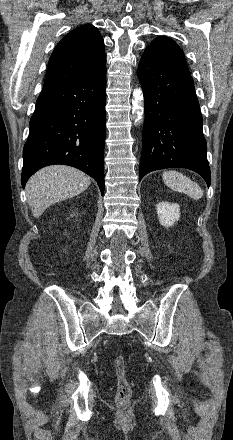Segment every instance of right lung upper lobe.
<instances>
[{
	"mask_svg": "<svg viewBox=\"0 0 233 440\" xmlns=\"http://www.w3.org/2000/svg\"><path fill=\"white\" fill-rule=\"evenodd\" d=\"M104 41L92 25L68 33L54 49L47 68L44 88L75 83L106 69Z\"/></svg>",
	"mask_w": 233,
	"mask_h": 440,
	"instance_id": "1",
	"label": "right lung upper lobe"
}]
</instances>
